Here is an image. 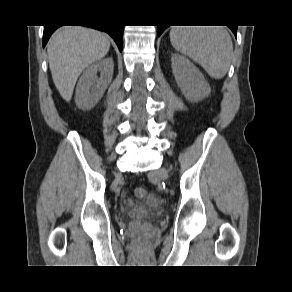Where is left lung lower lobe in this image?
<instances>
[{
  "label": "left lung lower lobe",
  "mask_w": 292,
  "mask_h": 292,
  "mask_svg": "<svg viewBox=\"0 0 292 292\" xmlns=\"http://www.w3.org/2000/svg\"><path fill=\"white\" fill-rule=\"evenodd\" d=\"M167 26H158V36L161 35V33L166 29ZM230 27V26H229ZM233 33L236 35L237 33V26L230 27Z\"/></svg>",
  "instance_id": "1"
}]
</instances>
